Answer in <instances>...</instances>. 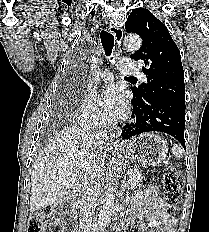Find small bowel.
Segmentation results:
<instances>
[{"instance_id":"small-bowel-1","label":"small bowel","mask_w":209,"mask_h":232,"mask_svg":"<svg viewBox=\"0 0 209 232\" xmlns=\"http://www.w3.org/2000/svg\"><path fill=\"white\" fill-rule=\"evenodd\" d=\"M132 218L141 222L137 232L157 228L160 232H174L177 224L176 218L169 214L167 204L160 198L155 186L135 194L132 201Z\"/></svg>"}]
</instances>
